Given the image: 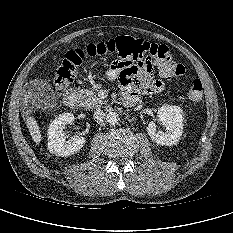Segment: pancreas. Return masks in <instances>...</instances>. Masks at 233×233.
Masks as SVG:
<instances>
[{"label": "pancreas", "mask_w": 233, "mask_h": 233, "mask_svg": "<svg viewBox=\"0 0 233 233\" xmlns=\"http://www.w3.org/2000/svg\"><path fill=\"white\" fill-rule=\"evenodd\" d=\"M78 92H79V97L83 101V105L85 107L96 108L106 104V101L100 99L97 96V94L93 91L87 89H80Z\"/></svg>", "instance_id": "cf45deb5"}]
</instances>
